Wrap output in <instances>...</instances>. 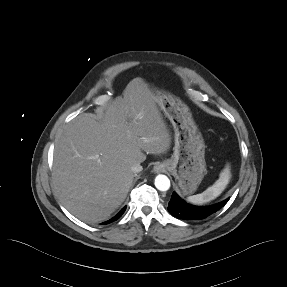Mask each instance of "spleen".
<instances>
[{
    "label": "spleen",
    "mask_w": 287,
    "mask_h": 287,
    "mask_svg": "<svg viewBox=\"0 0 287 287\" xmlns=\"http://www.w3.org/2000/svg\"><path fill=\"white\" fill-rule=\"evenodd\" d=\"M231 178L230 166L226 165L220 173L219 179L201 194H196L187 197V201L193 204H203L217 198L228 185Z\"/></svg>",
    "instance_id": "1"
}]
</instances>
